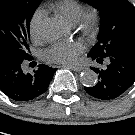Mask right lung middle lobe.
I'll list each match as a JSON object with an SVG mask.
<instances>
[{"instance_id": "obj_1", "label": "right lung middle lobe", "mask_w": 135, "mask_h": 135, "mask_svg": "<svg viewBox=\"0 0 135 135\" xmlns=\"http://www.w3.org/2000/svg\"><path fill=\"white\" fill-rule=\"evenodd\" d=\"M42 0H0V47L28 56L29 22Z\"/></svg>"}]
</instances>
